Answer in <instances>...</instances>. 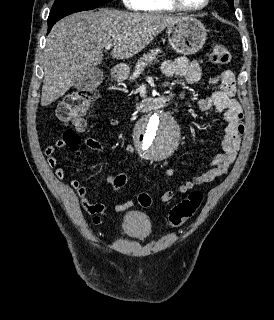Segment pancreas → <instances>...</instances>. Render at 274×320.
Returning a JSON list of instances; mask_svg holds the SVG:
<instances>
[{
  "mask_svg": "<svg viewBox=\"0 0 274 320\" xmlns=\"http://www.w3.org/2000/svg\"><path fill=\"white\" fill-rule=\"evenodd\" d=\"M158 54H162V50H159V48L151 50L150 54H144V56L138 60L135 66L136 70L133 72L132 76H130L129 80H136L141 72H143L144 68H146L147 64H153V62H156V60L160 58Z\"/></svg>",
  "mask_w": 274,
  "mask_h": 320,
  "instance_id": "1",
  "label": "pancreas"
}]
</instances>
